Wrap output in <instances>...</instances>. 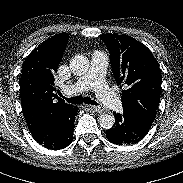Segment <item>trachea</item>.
<instances>
[{"label":"trachea","mask_w":183,"mask_h":183,"mask_svg":"<svg viewBox=\"0 0 183 183\" xmlns=\"http://www.w3.org/2000/svg\"><path fill=\"white\" fill-rule=\"evenodd\" d=\"M61 97H63L64 99H66L67 102L72 103V104H91V105H99L96 101L92 100L89 97H83L82 95L80 96H76V97H71V98H66L64 96H62V94H60Z\"/></svg>","instance_id":"3493384b"}]
</instances>
